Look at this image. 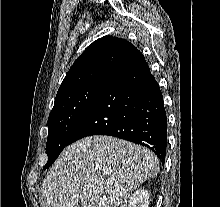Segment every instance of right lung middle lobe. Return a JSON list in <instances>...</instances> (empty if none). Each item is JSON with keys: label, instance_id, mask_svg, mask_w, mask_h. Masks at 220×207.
Returning <instances> with one entry per match:
<instances>
[{"label": "right lung middle lobe", "instance_id": "dd1d6c3e", "mask_svg": "<svg viewBox=\"0 0 220 207\" xmlns=\"http://www.w3.org/2000/svg\"><path fill=\"white\" fill-rule=\"evenodd\" d=\"M106 80H96L56 96L48 118L46 153L49 157L44 169L69 145L71 135L92 108Z\"/></svg>", "mask_w": 220, "mask_h": 207}]
</instances>
